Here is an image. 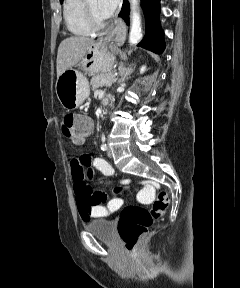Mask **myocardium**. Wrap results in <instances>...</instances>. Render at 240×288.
Here are the masks:
<instances>
[{"instance_id": "f54148a6", "label": "myocardium", "mask_w": 240, "mask_h": 288, "mask_svg": "<svg viewBox=\"0 0 240 288\" xmlns=\"http://www.w3.org/2000/svg\"><path fill=\"white\" fill-rule=\"evenodd\" d=\"M84 12L87 25L91 28L92 31L100 30L107 24L106 20H98L95 17L87 0H84Z\"/></svg>"}]
</instances>
